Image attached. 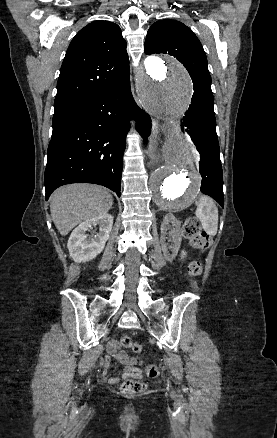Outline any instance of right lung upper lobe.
<instances>
[{
  "label": "right lung upper lobe",
  "instance_id": "obj_1",
  "mask_svg": "<svg viewBox=\"0 0 277 438\" xmlns=\"http://www.w3.org/2000/svg\"><path fill=\"white\" fill-rule=\"evenodd\" d=\"M112 63L111 71L96 67ZM72 64L93 65L91 69L72 70ZM130 73L126 41L120 27L109 21H94L81 29L66 52L57 83L54 109L123 80Z\"/></svg>",
  "mask_w": 277,
  "mask_h": 438
}]
</instances>
